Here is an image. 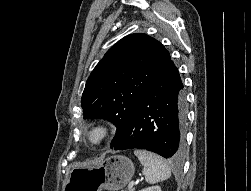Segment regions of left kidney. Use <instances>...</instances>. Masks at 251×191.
I'll return each mask as SVG.
<instances>
[{
	"instance_id": "1",
	"label": "left kidney",
	"mask_w": 251,
	"mask_h": 191,
	"mask_svg": "<svg viewBox=\"0 0 251 191\" xmlns=\"http://www.w3.org/2000/svg\"><path fill=\"white\" fill-rule=\"evenodd\" d=\"M140 191H162L160 185H151V187H144V189H140Z\"/></svg>"
}]
</instances>
